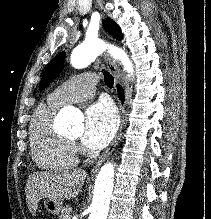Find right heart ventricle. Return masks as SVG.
I'll return each instance as SVG.
<instances>
[{"label": "right heart ventricle", "mask_w": 211, "mask_h": 219, "mask_svg": "<svg viewBox=\"0 0 211 219\" xmlns=\"http://www.w3.org/2000/svg\"><path fill=\"white\" fill-rule=\"evenodd\" d=\"M61 105H40L30 123V147L32 158L42 169H66L77 164L75 147L54 129V119Z\"/></svg>", "instance_id": "right-heart-ventricle-1"}]
</instances>
